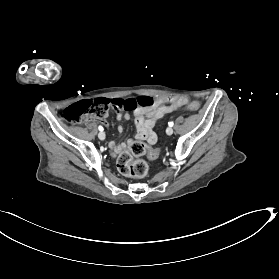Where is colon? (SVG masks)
I'll return each mask as SVG.
<instances>
[{
  "instance_id": "colon-1",
  "label": "colon",
  "mask_w": 279,
  "mask_h": 279,
  "mask_svg": "<svg viewBox=\"0 0 279 279\" xmlns=\"http://www.w3.org/2000/svg\"><path fill=\"white\" fill-rule=\"evenodd\" d=\"M155 99L150 96H138L128 99L96 98L84 100L67 107L62 114L64 120L69 123H80L88 118L103 119L108 115L110 108L134 111L138 108H152ZM186 108L191 111L200 109L197 101L189 102ZM147 154L149 158L156 159L161 155L158 148L147 147L140 141L130 144L128 150L120 154L118 159L119 170L126 176L141 179L148 174L149 166L141 156Z\"/></svg>"
}]
</instances>
